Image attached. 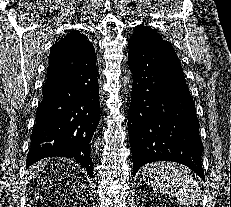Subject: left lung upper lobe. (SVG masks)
Wrapping results in <instances>:
<instances>
[{
    "mask_svg": "<svg viewBox=\"0 0 231 207\" xmlns=\"http://www.w3.org/2000/svg\"><path fill=\"white\" fill-rule=\"evenodd\" d=\"M129 43L158 45V46H172L171 43L163 40L162 36L156 33L155 30L143 25H138L135 28L129 40Z\"/></svg>",
    "mask_w": 231,
    "mask_h": 207,
    "instance_id": "1",
    "label": "left lung upper lobe"
}]
</instances>
